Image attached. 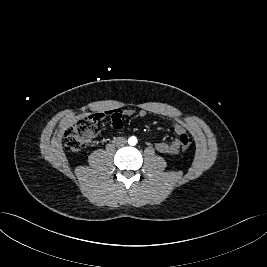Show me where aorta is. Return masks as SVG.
Returning a JSON list of instances; mask_svg holds the SVG:
<instances>
[{
    "mask_svg": "<svg viewBox=\"0 0 267 267\" xmlns=\"http://www.w3.org/2000/svg\"><path fill=\"white\" fill-rule=\"evenodd\" d=\"M128 143H129V145H131V146L136 145V144H137V138L134 137V136L130 137V138L128 139Z\"/></svg>",
    "mask_w": 267,
    "mask_h": 267,
    "instance_id": "aorta-1",
    "label": "aorta"
}]
</instances>
